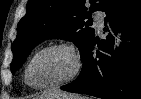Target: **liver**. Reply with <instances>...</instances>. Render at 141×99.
Masks as SVG:
<instances>
[{
    "mask_svg": "<svg viewBox=\"0 0 141 99\" xmlns=\"http://www.w3.org/2000/svg\"><path fill=\"white\" fill-rule=\"evenodd\" d=\"M43 95H49L52 99H77L76 95L59 90H51Z\"/></svg>",
    "mask_w": 141,
    "mask_h": 99,
    "instance_id": "obj_1",
    "label": "liver"
}]
</instances>
